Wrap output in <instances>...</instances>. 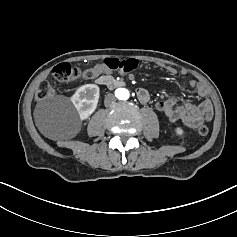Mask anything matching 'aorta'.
<instances>
[{
  "label": "aorta",
  "instance_id": "obj_1",
  "mask_svg": "<svg viewBox=\"0 0 237 237\" xmlns=\"http://www.w3.org/2000/svg\"><path fill=\"white\" fill-rule=\"evenodd\" d=\"M129 91L126 88H118L117 96L120 100H127L129 98Z\"/></svg>",
  "mask_w": 237,
  "mask_h": 237
}]
</instances>
